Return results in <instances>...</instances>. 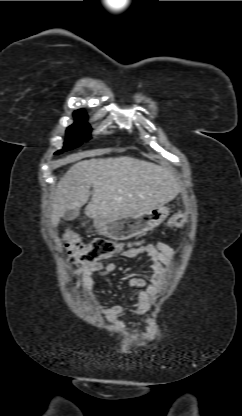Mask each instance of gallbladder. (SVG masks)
Instances as JSON below:
<instances>
[{
	"instance_id": "gallbladder-1",
	"label": "gallbladder",
	"mask_w": 242,
	"mask_h": 416,
	"mask_svg": "<svg viewBox=\"0 0 242 416\" xmlns=\"http://www.w3.org/2000/svg\"><path fill=\"white\" fill-rule=\"evenodd\" d=\"M79 214V210H67L63 215V219L66 221H72L76 219L79 216Z\"/></svg>"
}]
</instances>
